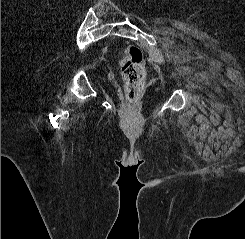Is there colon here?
Masks as SVG:
<instances>
[{
  "mask_svg": "<svg viewBox=\"0 0 245 239\" xmlns=\"http://www.w3.org/2000/svg\"><path fill=\"white\" fill-rule=\"evenodd\" d=\"M119 66L125 84V95L130 104L140 97L144 87L146 66L141 49L129 45L120 57Z\"/></svg>",
  "mask_w": 245,
  "mask_h": 239,
  "instance_id": "obj_1",
  "label": "colon"
}]
</instances>
